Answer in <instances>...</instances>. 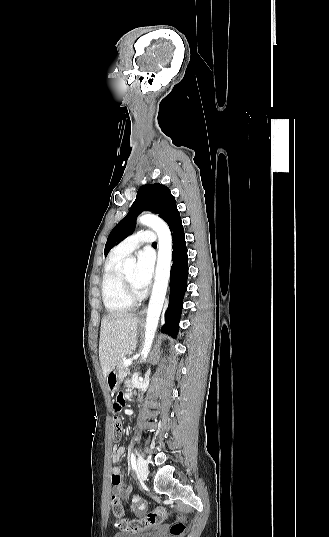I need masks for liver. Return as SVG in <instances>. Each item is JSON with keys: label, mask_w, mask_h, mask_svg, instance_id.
Listing matches in <instances>:
<instances>
[{"label": "liver", "mask_w": 329, "mask_h": 537, "mask_svg": "<svg viewBox=\"0 0 329 537\" xmlns=\"http://www.w3.org/2000/svg\"><path fill=\"white\" fill-rule=\"evenodd\" d=\"M138 322L132 314H112L102 319L99 359L104 377L134 349Z\"/></svg>", "instance_id": "obj_1"}]
</instances>
